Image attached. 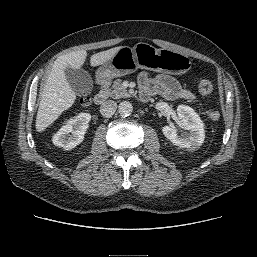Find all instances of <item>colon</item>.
Instances as JSON below:
<instances>
[{"label":"colon","mask_w":257,"mask_h":257,"mask_svg":"<svg viewBox=\"0 0 257 257\" xmlns=\"http://www.w3.org/2000/svg\"><path fill=\"white\" fill-rule=\"evenodd\" d=\"M199 93L203 96L210 95L213 92V84L209 80H202L198 86ZM91 102L90 97L86 96L81 99L82 105H89ZM208 116L212 120H218L220 113L216 110H210Z\"/></svg>","instance_id":"5ec220e1"}]
</instances>
